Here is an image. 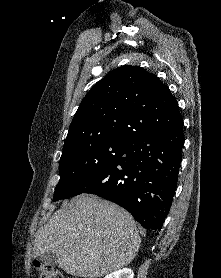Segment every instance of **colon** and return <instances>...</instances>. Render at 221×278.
I'll list each match as a JSON object with an SVG mask.
<instances>
[{"label": "colon", "instance_id": "5ec220e1", "mask_svg": "<svg viewBox=\"0 0 221 278\" xmlns=\"http://www.w3.org/2000/svg\"><path fill=\"white\" fill-rule=\"evenodd\" d=\"M33 265L40 278H64L61 271L39 260H35Z\"/></svg>", "mask_w": 221, "mask_h": 278}]
</instances>
